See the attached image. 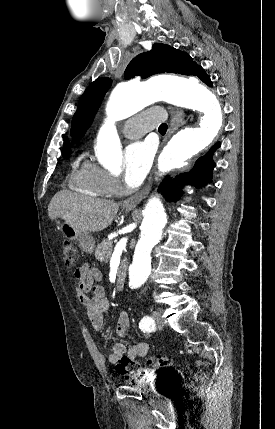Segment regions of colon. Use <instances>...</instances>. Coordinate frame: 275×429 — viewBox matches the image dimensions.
<instances>
[{
  "label": "colon",
  "mask_w": 275,
  "mask_h": 429,
  "mask_svg": "<svg viewBox=\"0 0 275 429\" xmlns=\"http://www.w3.org/2000/svg\"><path fill=\"white\" fill-rule=\"evenodd\" d=\"M63 263L66 267H72L78 260V251L69 241L64 242L62 247ZM151 369L163 371L172 367L173 361L165 356H152L148 358ZM117 369L122 374H129L132 378H140L148 375L151 369L141 366L138 362L123 358L120 360Z\"/></svg>",
  "instance_id": "5ec220e1"
}]
</instances>
